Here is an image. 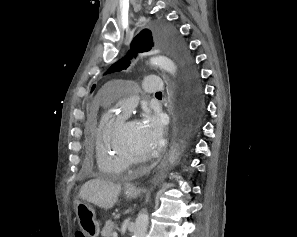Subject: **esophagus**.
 Segmentation results:
<instances>
[{"label":"esophagus","instance_id":"1","mask_svg":"<svg viewBox=\"0 0 297 237\" xmlns=\"http://www.w3.org/2000/svg\"><path fill=\"white\" fill-rule=\"evenodd\" d=\"M166 157H167V153L164 155V157H163V159L161 160V162H160V164L158 165V167H160V166L163 164V162H164V160L166 159ZM127 190H129V191H136V185H135L134 183H130V184H128V185H127Z\"/></svg>","mask_w":297,"mask_h":237}]
</instances>
